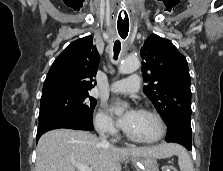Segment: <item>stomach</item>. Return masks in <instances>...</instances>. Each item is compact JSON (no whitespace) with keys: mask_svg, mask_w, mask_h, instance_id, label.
<instances>
[{"mask_svg":"<svg viewBox=\"0 0 223 171\" xmlns=\"http://www.w3.org/2000/svg\"><path fill=\"white\" fill-rule=\"evenodd\" d=\"M134 164L137 171H159L157 160L152 156L138 157Z\"/></svg>","mask_w":223,"mask_h":171,"instance_id":"0dacf381","label":"stomach"}]
</instances>
